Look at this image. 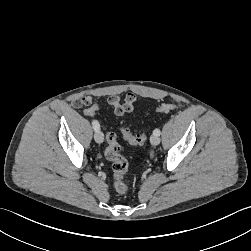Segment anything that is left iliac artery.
<instances>
[{
    "label": "left iliac artery",
    "instance_id": "1",
    "mask_svg": "<svg viewBox=\"0 0 251 251\" xmlns=\"http://www.w3.org/2000/svg\"><path fill=\"white\" fill-rule=\"evenodd\" d=\"M160 133H161V131H160V129H158V128H156L154 131H153V134L154 135H160Z\"/></svg>",
    "mask_w": 251,
    "mask_h": 251
}]
</instances>
